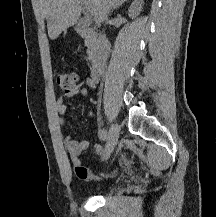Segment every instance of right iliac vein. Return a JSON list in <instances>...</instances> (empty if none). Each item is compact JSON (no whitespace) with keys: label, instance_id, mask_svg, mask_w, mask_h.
<instances>
[{"label":"right iliac vein","instance_id":"1","mask_svg":"<svg viewBox=\"0 0 216 217\" xmlns=\"http://www.w3.org/2000/svg\"><path fill=\"white\" fill-rule=\"evenodd\" d=\"M119 133H120L119 125L118 124H112L110 131H109L105 150L103 153V158H102L103 160L108 159L109 156L111 155V153L113 152V150H114V148L118 142Z\"/></svg>","mask_w":216,"mask_h":217}]
</instances>
